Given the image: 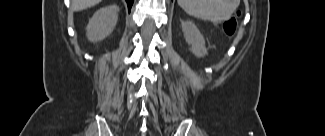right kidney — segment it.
Segmentation results:
<instances>
[{
  "instance_id": "1",
  "label": "right kidney",
  "mask_w": 325,
  "mask_h": 136,
  "mask_svg": "<svg viewBox=\"0 0 325 136\" xmlns=\"http://www.w3.org/2000/svg\"><path fill=\"white\" fill-rule=\"evenodd\" d=\"M119 8L116 5L103 7L96 11L86 27L87 38L97 42L107 37L116 26Z\"/></svg>"
}]
</instances>
